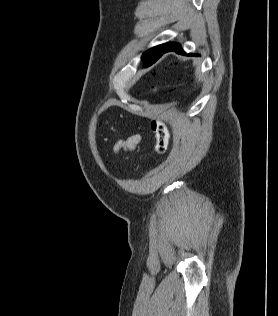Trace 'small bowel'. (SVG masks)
<instances>
[{"label":"small bowel","mask_w":278,"mask_h":316,"mask_svg":"<svg viewBox=\"0 0 278 316\" xmlns=\"http://www.w3.org/2000/svg\"><path fill=\"white\" fill-rule=\"evenodd\" d=\"M141 135L136 133L133 134L126 139H120L118 140L114 145V152L119 153L121 151L123 152H130L135 150L137 145L141 142Z\"/></svg>","instance_id":"1"}]
</instances>
